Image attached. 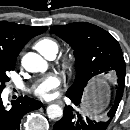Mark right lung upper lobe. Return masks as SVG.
<instances>
[{"instance_id": "right-lung-upper-lobe-1", "label": "right lung upper lobe", "mask_w": 130, "mask_h": 130, "mask_svg": "<svg viewBox=\"0 0 130 130\" xmlns=\"http://www.w3.org/2000/svg\"><path fill=\"white\" fill-rule=\"evenodd\" d=\"M46 30L47 27L43 26L31 27L0 21V54L16 60L26 43Z\"/></svg>"}]
</instances>
